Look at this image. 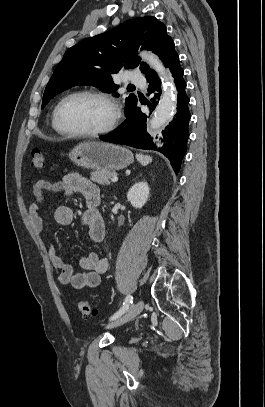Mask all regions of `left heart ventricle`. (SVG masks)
Returning <instances> with one entry per match:
<instances>
[{
  "label": "left heart ventricle",
  "mask_w": 265,
  "mask_h": 407,
  "mask_svg": "<svg viewBox=\"0 0 265 407\" xmlns=\"http://www.w3.org/2000/svg\"><path fill=\"white\" fill-rule=\"evenodd\" d=\"M111 115V109L105 102L93 97L76 96L64 103L60 120L66 130L92 132L105 127Z\"/></svg>",
  "instance_id": "1"
}]
</instances>
